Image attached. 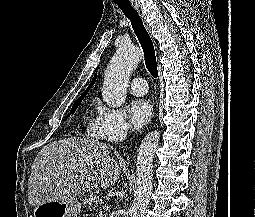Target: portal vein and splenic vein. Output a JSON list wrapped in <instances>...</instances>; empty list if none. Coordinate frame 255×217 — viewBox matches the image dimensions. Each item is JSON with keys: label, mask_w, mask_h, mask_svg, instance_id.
Wrapping results in <instances>:
<instances>
[{"label": "portal vein and splenic vein", "mask_w": 255, "mask_h": 217, "mask_svg": "<svg viewBox=\"0 0 255 217\" xmlns=\"http://www.w3.org/2000/svg\"><path fill=\"white\" fill-rule=\"evenodd\" d=\"M104 209H108L109 208V206L108 205H104V207H103Z\"/></svg>", "instance_id": "1"}]
</instances>
